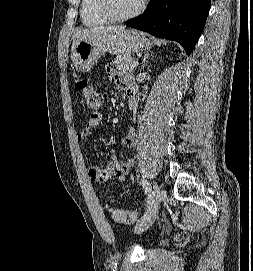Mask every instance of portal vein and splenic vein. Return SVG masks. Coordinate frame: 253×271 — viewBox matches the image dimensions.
I'll list each match as a JSON object with an SVG mask.
<instances>
[{"label": "portal vein and splenic vein", "instance_id": "1", "mask_svg": "<svg viewBox=\"0 0 253 271\" xmlns=\"http://www.w3.org/2000/svg\"><path fill=\"white\" fill-rule=\"evenodd\" d=\"M138 61H134L132 64H131V67H133V68H135V67H137L138 66Z\"/></svg>", "mask_w": 253, "mask_h": 271}]
</instances>
